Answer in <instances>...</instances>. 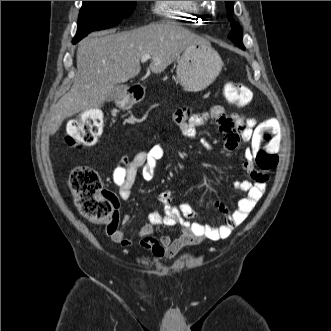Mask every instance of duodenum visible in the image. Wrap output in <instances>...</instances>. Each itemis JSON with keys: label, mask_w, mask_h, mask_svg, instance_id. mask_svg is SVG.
<instances>
[{"label": "duodenum", "mask_w": 331, "mask_h": 331, "mask_svg": "<svg viewBox=\"0 0 331 331\" xmlns=\"http://www.w3.org/2000/svg\"><path fill=\"white\" fill-rule=\"evenodd\" d=\"M127 95L129 97L130 100L137 102L139 100H141L144 96V88L140 85L138 86H134L131 87L128 91H127Z\"/></svg>", "instance_id": "duodenum-1"}]
</instances>
